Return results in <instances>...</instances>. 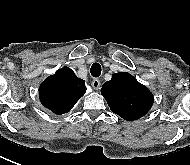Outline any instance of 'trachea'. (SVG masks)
<instances>
[{
	"instance_id": "3493384b",
	"label": "trachea",
	"mask_w": 190,
	"mask_h": 165,
	"mask_svg": "<svg viewBox=\"0 0 190 165\" xmlns=\"http://www.w3.org/2000/svg\"><path fill=\"white\" fill-rule=\"evenodd\" d=\"M101 66L98 63H94L91 66L90 72L93 77H99L101 75Z\"/></svg>"
}]
</instances>
